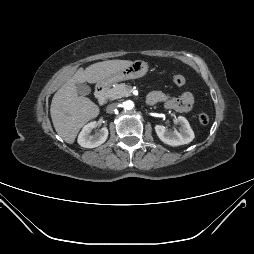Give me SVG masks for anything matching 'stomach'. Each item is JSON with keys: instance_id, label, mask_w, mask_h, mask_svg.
I'll return each mask as SVG.
<instances>
[{"instance_id": "obj_1", "label": "stomach", "mask_w": 254, "mask_h": 254, "mask_svg": "<svg viewBox=\"0 0 254 254\" xmlns=\"http://www.w3.org/2000/svg\"><path fill=\"white\" fill-rule=\"evenodd\" d=\"M147 71H148L147 62L143 60H136L128 67L111 75L110 77L104 79L100 83L102 85H108V84L119 82V81L137 79V78L143 77L147 73Z\"/></svg>"}]
</instances>
